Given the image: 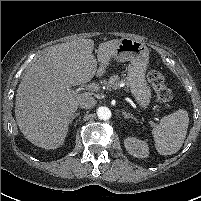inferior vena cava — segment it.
<instances>
[{
	"label": "inferior vena cava",
	"mask_w": 201,
	"mask_h": 201,
	"mask_svg": "<svg viewBox=\"0 0 201 201\" xmlns=\"http://www.w3.org/2000/svg\"><path fill=\"white\" fill-rule=\"evenodd\" d=\"M96 104V100L90 96H83L79 99L78 105L80 108L89 109Z\"/></svg>",
	"instance_id": "obj_1"
}]
</instances>
